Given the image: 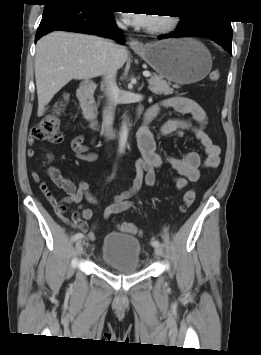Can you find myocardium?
<instances>
[{
  "label": "myocardium",
  "mask_w": 261,
  "mask_h": 355,
  "mask_svg": "<svg viewBox=\"0 0 261 355\" xmlns=\"http://www.w3.org/2000/svg\"><path fill=\"white\" fill-rule=\"evenodd\" d=\"M178 24V19L175 15H164L160 21L153 27L148 29L152 34H163L173 30Z\"/></svg>",
  "instance_id": "f54148a6"
}]
</instances>
